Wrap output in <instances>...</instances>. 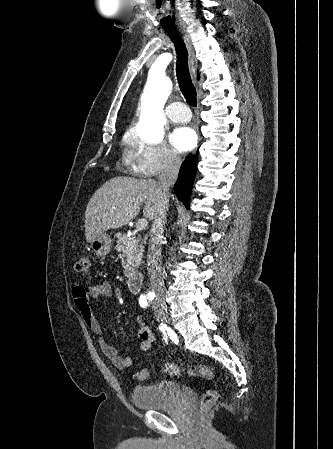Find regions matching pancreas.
I'll list each match as a JSON object with an SVG mask.
<instances>
[{
	"mask_svg": "<svg viewBox=\"0 0 333 449\" xmlns=\"http://www.w3.org/2000/svg\"><path fill=\"white\" fill-rule=\"evenodd\" d=\"M118 241L116 250L122 255V267L124 275L130 277L142 262L143 247L139 244V239L135 237H128L124 234L118 233Z\"/></svg>",
	"mask_w": 333,
	"mask_h": 449,
	"instance_id": "obj_1",
	"label": "pancreas"
}]
</instances>
